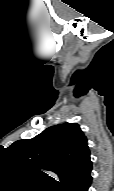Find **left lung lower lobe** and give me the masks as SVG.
<instances>
[{
    "label": "left lung lower lobe",
    "mask_w": 114,
    "mask_h": 191,
    "mask_svg": "<svg viewBox=\"0 0 114 191\" xmlns=\"http://www.w3.org/2000/svg\"><path fill=\"white\" fill-rule=\"evenodd\" d=\"M91 170L89 158L61 187V191H88L92 180Z\"/></svg>",
    "instance_id": "left-lung-lower-lobe-1"
}]
</instances>
